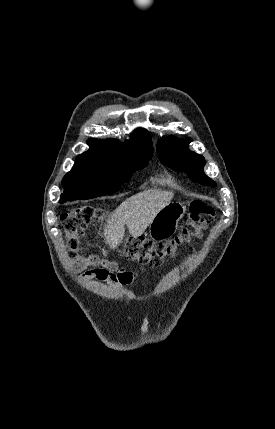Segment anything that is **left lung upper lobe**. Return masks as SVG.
<instances>
[{
    "label": "left lung upper lobe",
    "mask_w": 275,
    "mask_h": 429,
    "mask_svg": "<svg viewBox=\"0 0 275 429\" xmlns=\"http://www.w3.org/2000/svg\"><path fill=\"white\" fill-rule=\"evenodd\" d=\"M191 139L184 141L172 136L162 138L157 146L158 156L161 162L174 171H184L189 178L202 185L216 186V183L203 172L205 165L204 157L188 149Z\"/></svg>",
    "instance_id": "5c2ea615"
}]
</instances>
